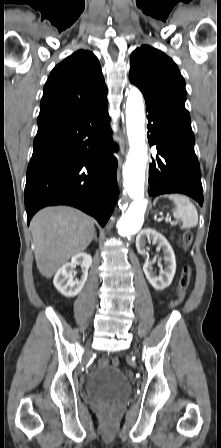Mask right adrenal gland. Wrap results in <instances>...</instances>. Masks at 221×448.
Wrapping results in <instances>:
<instances>
[{"mask_svg":"<svg viewBox=\"0 0 221 448\" xmlns=\"http://www.w3.org/2000/svg\"><path fill=\"white\" fill-rule=\"evenodd\" d=\"M93 239H94V241H96V242L98 241V239H97V233H96V232H95V234H94V238H93Z\"/></svg>","mask_w":221,"mask_h":448,"instance_id":"obj_1","label":"right adrenal gland"}]
</instances>
